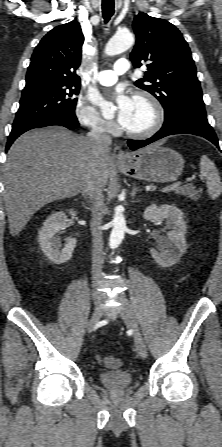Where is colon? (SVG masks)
Instances as JSON below:
<instances>
[{"mask_svg": "<svg viewBox=\"0 0 222 447\" xmlns=\"http://www.w3.org/2000/svg\"><path fill=\"white\" fill-rule=\"evenodd\" d=\"M101 363L111 369H116L121 365V360L118 357H104L100 358Z\"/></svg>", "mask_w": 222, "mask_h": 447, "instance_id": "obj_1", "label": "colon"}]
</instances>
